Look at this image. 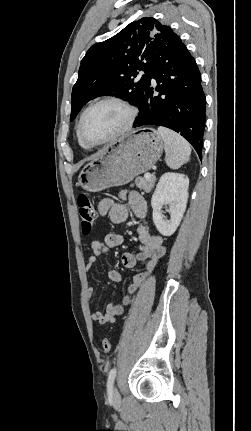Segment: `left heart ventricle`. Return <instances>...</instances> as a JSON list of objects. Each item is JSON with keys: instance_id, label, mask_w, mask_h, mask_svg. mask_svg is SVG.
<instances>
[{"instance_id": "obj_1", "label": "left heart ventricle", "mask_w": 251, "mask_h": 431, "mask_svg": "<svg viewBox=\"0 0 251 431\" xmlns=\"http://www.w3.org/2000/svg\"><path fill=\"white\" fill-rule=\"evenodd\" d=\"M127 112L117 104L105 103L90 110L83 122V134L90 142H99L117 132L126 122Z\"/></svg>"}]
</instances>
